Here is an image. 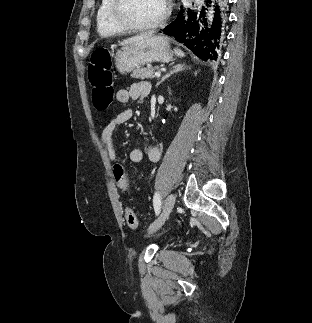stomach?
<instances>
[{
    "instance_id": "stomach-1",
    "label": "stomach",
    "mask_w": 312,
    "mask_h": 323,
    "mask_svg": "<svg viewBox=\"0 0 312 323\" xmlns=\"http://www.w3.org/2000/svg\"><path fill=\"white\" fill-rule=\"evenodd\" d=\"M167 36H151L126 44L115 54V66L120 74H129L135 68L152 62H171L173 52Z\"/></svg>"
}]
</instances>
